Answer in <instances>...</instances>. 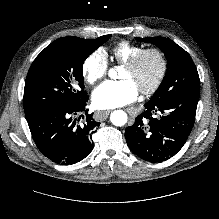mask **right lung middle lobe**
I'll list each match as a JSON object with an SVG mask.
<instances>
[{"label":"right lung middle lobe","mask_w":219,"mask_h":219,"mask_svg":"<svg viewBox=\"0 0 219 219\" xmlns=\"http://www.w3.org/2000/svg\"><path fill=\"white\" fill-rule=\"evenodd\" d=\"M110 36L97 39L68 36L48 45L27 74L23 98L25 114L47 105H77L85 100L88 96L84 91L83 63Z\"/></svg>","instance_id":"obj_1"}]
</instances>
